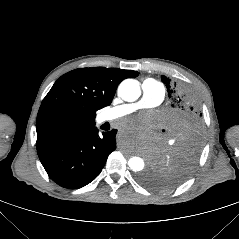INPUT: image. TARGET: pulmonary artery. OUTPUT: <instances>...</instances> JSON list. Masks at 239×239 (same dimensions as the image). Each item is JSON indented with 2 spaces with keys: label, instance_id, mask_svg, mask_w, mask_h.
Segmentation results:
<instances>
[{
  "label": "pulmonary artery",
  "instance_id": "pulmonary-artery-1",
  "mask_svg": "<svg viewBox=\"0 0 239 239\" xmlns=\"http://www.w3.org/2000/svg\"><path fill=\"white\" fill-rule=\"evenodd\" d=\"M142 97L139 101L129 104H122L106 111L100 121H113L124 117L139 109L156 107L162 103L165 97L164 85L154 79H146L142 83Z\"/></svg>",
  "mask_w": 239,
  "mask_h": 239
}]
</instances>
